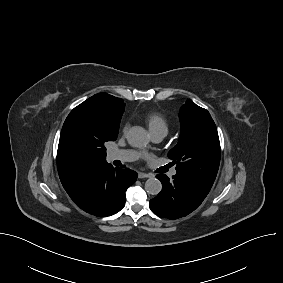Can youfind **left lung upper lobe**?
I'll use <instances>...</instances> for the list:
<instances>
[{
	"label": "left lung upper lobe",
	"mask_w": 283,
	"mask_h": 283,
	"mask_svg": "<svg viewBox=\"0 0 283 283\" xmlns=\"http://www.w3.org/2000/svg\"><path fill=\"white\" fill-rule=\"evenodd\" d=\"M181 134L178 144L168 153L177 163V174L210 191L220 163V142L209 112L188 99L179 113Z\"/></svg>",
	"instance_id": "1"
}]
</instances>
